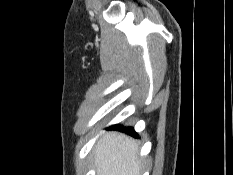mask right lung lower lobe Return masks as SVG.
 Segmentation results:
<instances>
[{
  "mask_svg": "<svg viewBox=\"0 0 233 175\" xmlns=\"http://www.w3.org/2000/svg\"><path fill=\"white\" fill-rule=\"evenodd\" d=\"M112 128L121 129L123 132H125V133H127L129 135L138 137L137 133L134 131V129L132 127H125V128H123L120 125H114V126H112Z\"/></svg>",
  "mask_w": 233,
  "mask_h": 175,
  "instance_id": "1",
  "label": "right lung lower lobe"
}]
</instances>
